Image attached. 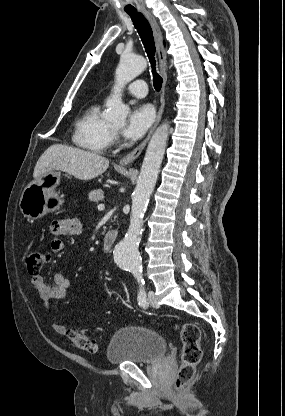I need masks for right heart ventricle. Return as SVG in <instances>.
Returning a JSON list of instances; mask_svg holds the SVG:
<instances>
[{"mask_svg":"<svg viewBox=\"0 0 285 416\" xmlns=\"http://www.w3.org/2000/svg\"><path fill=\"white\" fill-rule=\"evenodd\" d=\"M111 137V126L103 119L100 105L87 106L76 121L73 143L88 153L101 154L110 146Z\"/></svg>","mask_w":285,"mask_h":416,"instance_id":"e07e8e85","label":"right heart ventricle"}]
</instances>
